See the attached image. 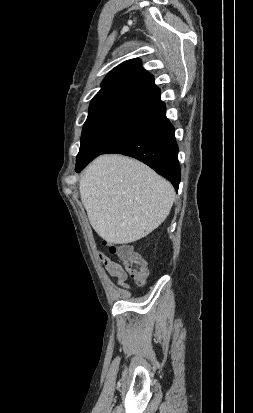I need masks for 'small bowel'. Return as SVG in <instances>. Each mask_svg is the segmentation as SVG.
<instances>
[{"label":"small bowel","mask_w":253,"mask_h":413,"mask_svg":"<svg viewBox=\"0 0 253 413\" xmlns=\"http://www.w3.org/2000/svg\"><path fill=\"white\" fill-rule=\"evenodd\" d=\"M99 260L103 263L106 272L116 279L117 283L123 287H129L127 284V273L121 264L109 258L103 252L98 253Z\"/></svg>","instance_id":"c3829d8e"}]
</instances>
